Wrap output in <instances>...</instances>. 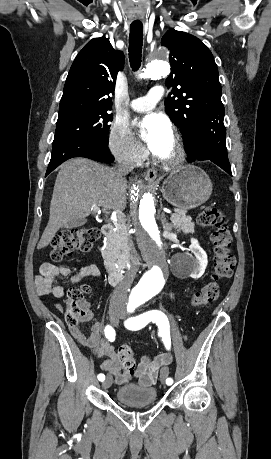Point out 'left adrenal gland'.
<instances>
[{
	"label": "left adrenal gland",
	"mask_w": 271,
	"mask_h": 459,
	"mask_svg": "<svg viewBox=\"0 0 271 459\" xmlns=\"http://www.w3.org/2000/svg\"><path fill=\"white\" fill-rule=\"evenodd\" d=\"M161 222L163 224V229H168V231H171V229L174 228L173 224H169L165 218V212H162L161 214Z\"/></svg>",
	"instance_id": "obj_1"
}]
</instances>
